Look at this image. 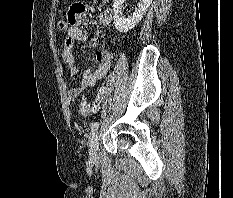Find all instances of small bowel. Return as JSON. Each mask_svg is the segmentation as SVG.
Returning <instances> with one entry per match:
<instances>
[{"label":"small bowel","mask_w":233,"mask_h":198,"mask_svg":"<svg viewBox=\"0 0 233 198\" xmlns=\"http://www.w3.org/2000/svg\"><path fill=\"white\" fill-rule=\"evenodd\" d=\"M87 14L88 6L82 2L73 3L67 12L69 27L66 39L62 44V59L68 67L71 77L79 73V67L75 61L73 50L77 44L85 42L88 38V33L81 28ZM112 18L113 12L111 9L102 10L96 17L97 22L102 26L111 24ZM95 57L98 66L93 70H86L79 83L68 90L67 96L69 100H76L87 87L94 86L110 69L113 56L109 50L99 48L95 51Z\"/></svg>","instance_id":"small-bowel-1"}]
</instances>
